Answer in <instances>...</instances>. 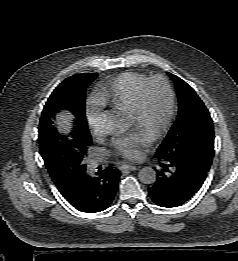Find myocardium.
<instances>
[{"instance_id": "1", "label": "myocardium", "mask_w": 238, "mask_h": 261, "mask_svg": "<svg viewBox=\"0 0 238 261\" xmlns=\"http://www.w3.org/2000/svg\"><path fill=\"white\" fill-rule=\"evenodd\" d=\"M155 82H160L165 87L167 97H168V109H167L166 116H165L161 126L152 135L153 140L160 138L168 131V129L171 126L174 114H175L176 95H175V90H174V87H173L170 79L162 74H156V75L148 77L139 87L134 106L130 110V114L137 121H139L144 113L146 93H147L149 87Z\"/></svg>"}]
</instances>
